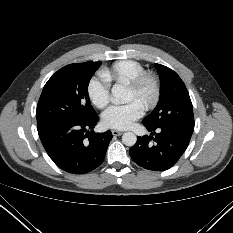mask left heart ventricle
Segmentation results:
<instances>
[{
	"instance_id": "left-heart-ventricle-1",
	"label": "left heart ventricle",
	"mask_w": 233,
	"mask_h": 233,
	"mask_svg": "<svg viewBox=\"0 0 233 233\" xmlns=\"http://www.w3.org/2000/svg\"><path fill=\"white\" fill-rule=\"evenodd\" d=\"M150 90L147 87L143 95H138L131 87L128 88V93L126 97V101L137 100L143 105V101L145 98L149 96Z\"/></svg>"
}]
</instances>
